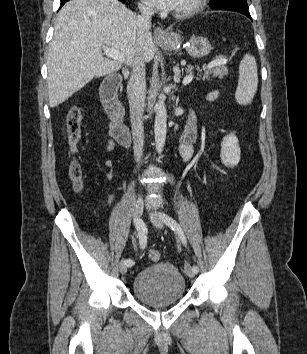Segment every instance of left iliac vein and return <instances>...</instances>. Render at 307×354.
Segmentation results:
<instances>
[{
    "instance_id": "1",
    "label": "left iliac vein",
    "mask_w": 307,
    "mask_h": 354,
    "mask_svg": "<svg viewBox=\"0 0 307 354\" xmlns=\"http://www.w3.org/2000/svg\"><path fill=\"white\" fill-rule=\"evenodd\" d=\"M148 212H149L150 219H151L152 223L154 224V226L159 229L163 228V223L160 218V214L154 210H151V209H149ZM185 273L190 278H193L195 276V273L193 272L191 266L187 263L185 264Z\"/></svg>"
}]
</instances>
